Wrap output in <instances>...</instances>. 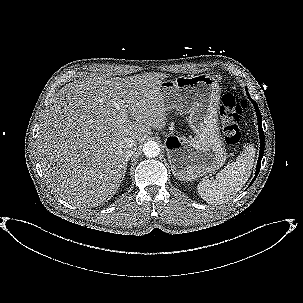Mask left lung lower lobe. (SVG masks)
I'll list each match as a JSON object with an SVG mask.
<instances>
[{
	"mask_svg": "<svg viewBox=\"0 0 303 303\" xmlns=\"http://www.w3.org/2000/svg\"><path fill=\"white\" fill-rule=\"evenodd\" d=\"M246 91H247V94H248V97L249 99L251 100V102L253 103L254 105V108L256 110V115H257V120H258V128H259V135H260V153H259V158H258V162H257V166H256V175L254 177V179L252 180V182L250 183V185L254 182V180L256 179L258 173H259V170H260V165H261V160H262V157H263V154H264V132H263V129H262V118H261V114H260V111H259V108H258V105L256 104V102L251 99V97L249 96V93H248V89L246 88Z\"/></svg>",
	"mask_w": 303,
	"mask_h": 303,
	"instance_id": "1",
	"label": "left lung lower lobe"
}]
</instances>
